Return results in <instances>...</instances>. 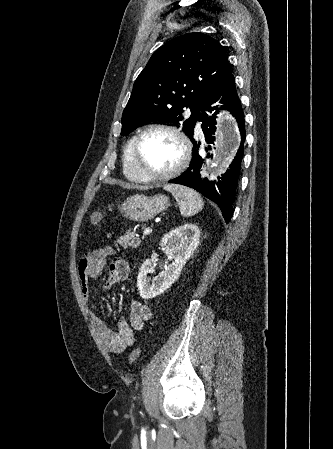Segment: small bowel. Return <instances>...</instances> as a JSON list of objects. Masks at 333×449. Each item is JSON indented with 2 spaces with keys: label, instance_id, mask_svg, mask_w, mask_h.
I'll return each instance as SVG.
<instances>
[{
  "label": "small bowel",
  "instance_id": "1",
  "mask_svg": "<svg viewBox=\"0 0 333 449\" xmlns=\"http://www.w3.org/2000/svg\"><path fill=\"white\" fill-rule=\"evenodd\" d=\"M113 254L111 247H105L84 255L78 263V276L83 296L91 297L90 280L99 276L105 268L106 259ZM128 263L120 258H114L108 265L102 289L109 290L117 283L127 278ZM90 317L95 329L105 346L113 352H122L135 342V332L143 329L144 324L151 318V309L139 301H132L128 320L117 321L116 329H111L94 310H90Z\"/></svg>",
  "mask_w": 333,
  "mask_h": 449
}]
</instances>
